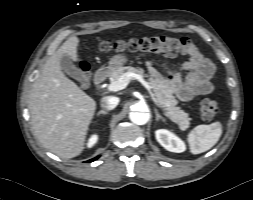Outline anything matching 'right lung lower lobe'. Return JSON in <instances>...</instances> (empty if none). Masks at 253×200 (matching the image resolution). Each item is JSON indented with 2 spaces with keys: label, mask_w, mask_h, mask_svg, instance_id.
Here are the masks:
<instances>
[{
  "label": "right lung lower lobe",
  "mask_w": 253,
  "mask_h": 200,
  "mask_svg": "<svg viewBox=\"0 0 253 200\" xmlns=\"http://www.w3.org/2000/svg\"><path fill=\"white\" fill-rule=\"evenodd\" d=\"M98 157H96V158H94V159H91V160H89L88 162H92L93 160H95V159H97Z\"/></svg>",
  "instance_id": "1"
}]
</instances>
